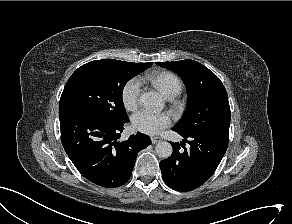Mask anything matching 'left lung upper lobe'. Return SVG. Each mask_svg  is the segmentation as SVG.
<instances>
[{
  "mask_svg": "<svg viewBox=\"0 0 292 224\" xmlns=\"http://www.w3.org/2000/svg\"><path fill=\"white\" fill-rule=\"evenodd\" d=\"M177 73L187 88L188 108L172 130L183 135L229 137L230 106L220 79L194 60L157 62Z\"/></svg>",
  "mask_w": 292,
  "mask_h": 224,
  "instance_id": "left-lung-upper-lobe-1",
  "label": "left lung upper lobe"
}]
</instances>
